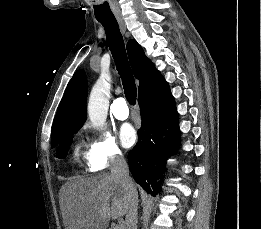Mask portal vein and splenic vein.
I'll list each match as a JSON object with an SVG mask.
<instances>
[{"instance_id":"portal-vein-and-splenic-vein-1","label":"portal vein and splenic vein","mask_w":261,"mask_h":229,"mask_svg":"<svg viewBox=\"0 0 261 229\" xmlns=\"http://www.w3.org/2000/svg\"><path fill=\"white\" fill-rule=\"evenodd\" d=\"M117 229H123V225H118Z\"/></svg>"}]
</instances>
